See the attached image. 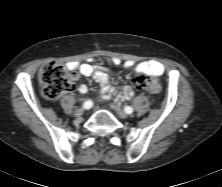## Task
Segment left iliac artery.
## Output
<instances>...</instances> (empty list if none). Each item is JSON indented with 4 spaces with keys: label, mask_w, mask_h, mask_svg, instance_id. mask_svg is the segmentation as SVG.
I'll list each match as a JSON object with an SVG mask.
<instances>
[{
    "label": "left iliac artery",
    "mask_w": 222,
    "mask_h": 187,
    "mask_svg": "<svg viewBox=\"0 0 222 187\" xmlns=\"http://www.w3.org/2000/svg\"><path fill=\"white\" fill-rule=\"evenodd\" d=\"M106 98H108V97H106ZM124 110H125V112L127 113V114H131V113H133V108L132 107H130V106H126L125 108H124Z\"/></svg>",
    "instance_id": "obj_1"
}]
</instances>
